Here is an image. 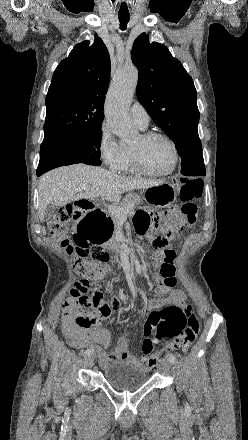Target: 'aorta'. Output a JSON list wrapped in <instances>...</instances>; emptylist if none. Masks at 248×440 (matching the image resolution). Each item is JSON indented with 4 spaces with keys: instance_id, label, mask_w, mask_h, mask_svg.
Returning a JSON list of instances; mask_svg holds the SVG:
<instances>
[{
    "instance_id": "aorta-1",
    "label": "aorta",
    "mask_w": 248,
    "mask_h": 440,
    "mask_svg": "<svg viewBox=\"0 0 248 440\" xmlns=\"http://www.w3.org/2000/svg\"><path fill=\"white\" fill-rule=\"evenodd\" d=\"M138 82V70L134 66L122 68L109 89L105 116L111 131L121 141L130 142L137 136L129 115V105Z\"/></svg>"
}]
</instances>
